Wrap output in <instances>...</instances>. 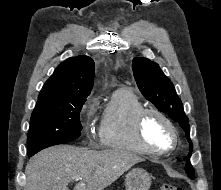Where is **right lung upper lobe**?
Here are the masks:
<instances>
[{
    "label": "right lung upper lobe",
    "instance_id": "1",
    "mask_svg": "<svg viewBox=\"0 0 221 190\" xmlns=\"http://www.w3.org/2000/svg\"><path fill=\"white\" fill-rule=\"evenodd\" d=\"M94 61L86 56L61 63L44 84L36 106L75 104L86 100L94 83Z\"/></svg>",
    "mask_w": 221,
    "mask_h": 190
}]
</instances>
